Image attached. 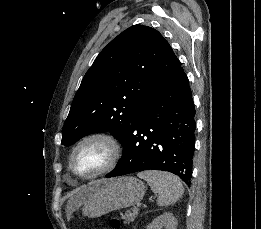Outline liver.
Masks as SVG:
<instances>
[{"mask_svg":"<svg viewBox=\"0 0 261 229\" xmlns=\"http://www.w3.org/2000/svg\"><path fill=\"white\" fill-rule=\"evenodd\" d=\"M87 197L88 189H86V187H80V189H76V191H73L71 195V201H69V205H72V207H74L77 201H85Z\"/></svg>","mask_w":261,"mask_h":229,"instance_id":"6515ba94","label":"liver"}]
</instances>
